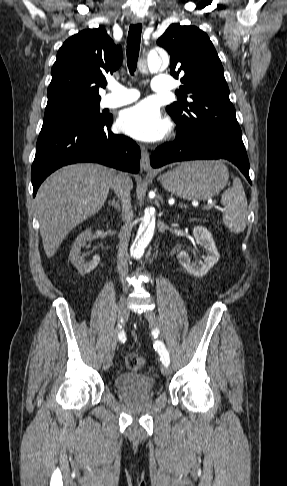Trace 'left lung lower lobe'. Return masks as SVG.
Wrapping results in <instances>:
<instances>
[{
    "label": "left lung lower lobe",
    "instance_id": "obj_1",
    "mask_svg": "<svg viewBox=\"0 0 287 486\" xmlns=\"http://www.w3.org/2000/svg\"><path fill=\"white\" fill-rule=\"evenodd\" d=\"M197 159L228 160L251 183L249 161L243 141L219 133L177 128L176 140L158 147L151 155L150 163L154 168H159L172 162Z\"/></svg>",
    "mask_w": 287,
    "mask_h": 486
}]
</instances>
